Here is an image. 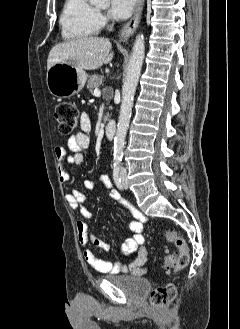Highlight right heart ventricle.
<instances>
[{"label":"right heart ventricle","instance_id":"right-heart-ventricle-1","mask_svg":"<svg viewBox=\"0 0 240 329\" xmlns=\"http://www.w3.org/2000/svg\"><path fill=\"white\" fill-rule=\"evenodd\" d=\"M59 25L66 41L90 38L100 29L98 11L89 0H65Z\"/></svg>","mask_w":240,"mask_h":329}]
</instances>
